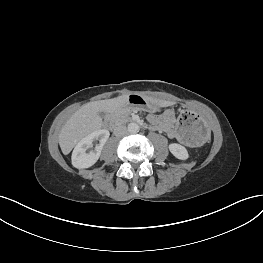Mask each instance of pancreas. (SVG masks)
<instances>
[{
	"label": "pancreas",
	"mask_w": 263,
	"mask_h": 263,
	"mask_svg": "<svg viewBox=\"0 0 263 263\" xmlns=\"http://www.w3.org/2000/svg\"><path fill=\"white\" fill-rule=\"evenodd\" d=\"M113 119L117 124H125L131 120L130 111L128 109H118L113 114Z\"/></svg>",
	"instance_id": "pancreas-1"
}]
</instances>
